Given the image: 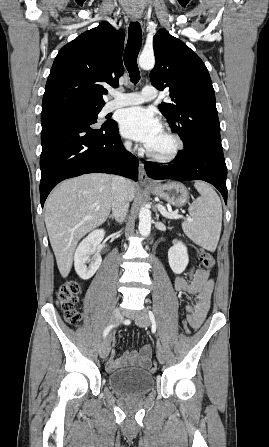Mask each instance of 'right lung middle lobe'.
Returning a JSON list of instances; mask_svg holds the SVG:
<instances>
[{"label":"right lung middle lobe","mask_w":269,"mask_h":447,"mask_svg":"<svg viewBox=\"0 0 269 447\" xmlns=\"http://www.w3.org/2000/svg\"><path fill=\"white\" fill-rule=\"evenodd\" d=\"M104 105H95V104H78V105H72L63 107L60 109H70L72 112L79 115L81 118H83L85 121L94 124L97 122L98 114L101 111L102 107ZM117 123L114 121L111 122H105L102 127H109L114 126Z\"/></svg>","instance_id":"dd1d6c3e"}]
</instances>
